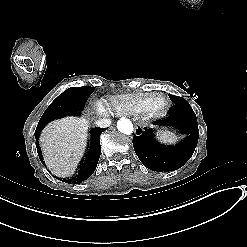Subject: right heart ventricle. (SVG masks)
Masks as SVG:
<instances>
[{"mask_svg": "<svg viewBox=\"0 0 247 247\" xmlns=\"http://www.w3.org/2000/svg\"><path fill=\"white\" fill-rule=\"evenodd\" d=\"M151 96V93L111 95L101 100V106L107 115H132L145 111Z\"/></svg>", "mask_w": 247, "mask_h": 247, "instance_id": "1", "label": "right heart ventricle"}]
</instances>
